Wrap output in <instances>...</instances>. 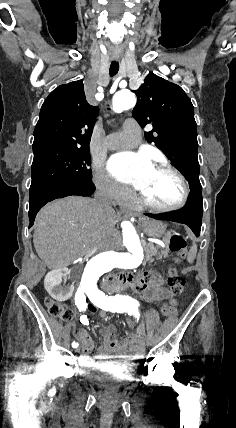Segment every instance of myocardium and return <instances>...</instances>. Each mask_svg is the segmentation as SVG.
I'll list each match as a JSON object with an SVG mask.
<instances>
[{
  "label": "myocardium",
  "instance_id": "f54148a6",
  "mask_svg": "<svg viewBox=\"0 0 236 428\" xmlns=\"http://www.w3.org/2000/svg\"><path fill=\"white\" fill-rule=\"evenodd\" d=\"M153 169L165 170L175 176L180 182L182 188V194L177 203L170 206H161L150 201L141 191L138 193V201L144 206L161 213L174 212L182 209L190 198V187L185 175L172 165L169 161H160L153 165Z\"/></svg>",
  "mask_w": 236,
  "mask_h": 428
}]
</instances>
